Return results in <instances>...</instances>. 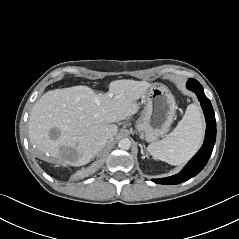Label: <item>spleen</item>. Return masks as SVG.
<instances>
[{
	"instance_id": "1",
	"label": "spleen",
	"mask_w": 239,
	"mask_h": 239,
	"mask_svg": "<svg viewBox=\"0 0 239 239\" xmlns=\"http://www.w3.org/2000/svg\"><path fill=\"white\" fill-rule=\"evenodd\" d=\"M203 135L204 125L200 110L196 104H190L176 128L162 140L148 145L147 150L158 160L181 165L199 149Z\"/></svg>"
}]
</instances>
